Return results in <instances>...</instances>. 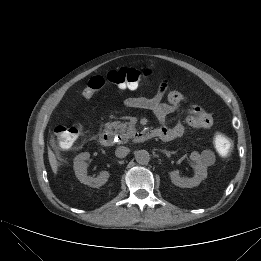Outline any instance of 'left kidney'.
<instances>
[{"label": "left kidney", "instance_id": "obj_1", "mask_svg": "<svg viewBox=\"0 0 261 261\" xmlns=\"http://www.w3.org/2000/svg\"><path fill=\"white\" fill-rule=\"evenodd\" d=\"M190 159L196 163L194 177H180L179 170L170 171L169 177L174 185L182 188H193L207 178V167L203 163L200 154L194 151L190 154Z\"/></svg>", "mask_w": 261, "mask_h": 261}]
</instances>
